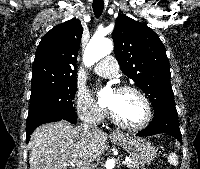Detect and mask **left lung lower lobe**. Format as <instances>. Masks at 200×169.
<instances>
[{
  "label": "left lung lower lobe",
  "mask_w": 200,
  "mask_h": 169,
  "mask_svg": "<svg viewBox=\"0 0 200 169\" xmlns=\"http://www.w3.org/2000/svg\"><path fill=\"white\" fill-rule=\"evenodd\" d=\"M160 133L169 134L182 143L178 114L175 107H160L156 109L151 123L137 135L152 136Z\"/></svg>",
  "instance_id": "1"
}]
</instances>
